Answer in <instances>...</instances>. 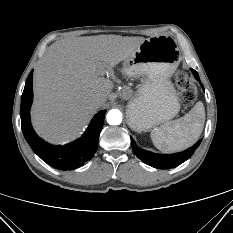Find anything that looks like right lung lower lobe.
Masks as SVG:
<instances>
[{"mask_svg": "<svg viewBox=\"0 0 233 233\" xmlns=\"http://www.w3.org/2000/svg\"><path fill=\"white\" fill-rule=\"evenodd\" d=\"M33 70L30 72L21 98V128L32 150L48 165L59 170H72L91 159L97 150L106 111L98 112L86 132L76 141L64 146H53L41 140L30 122V107L33 100Z\"/></svg>", "mask_w": 233, "mask_h": 233, "instance_id": "1", "label": "right lung lower lobe"}]
</instances>
